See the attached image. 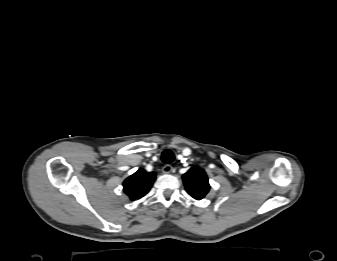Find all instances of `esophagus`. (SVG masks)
I'll use <instances>...</instances> for the list:
<instances>
[{"label":"esophagus","instance_id":"obj_1","mask_svg":"<svg viewBox=\"0 0 337 261\" xmlns=\"http://www.w3.org/2000/svg\"><path fill=\"white\" fill-rule=\"evenodd\" d=\"M173 171V167L170 164H166L162 168V172L165 174L171 173Z\"/></svg>","mask_w":337,"mask_h":261}]
</instances>
